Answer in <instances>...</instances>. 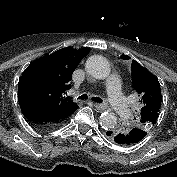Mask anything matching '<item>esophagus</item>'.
<instances>
[{"label":"esophagus","instance_id":"1","mask_svg":"<svg viewBox=\"0 0 177 177\" xmlns=\"http://www.w3.org/2000/svg\"><path fill=\"white\" fill-rule=\"evenodd\" d=\"M94 106H95L98 110H105V109H107V105H106V104H103V103L94 102Z\"/></svg>","mask_w":177,"mask_h":177}]
</instances>
